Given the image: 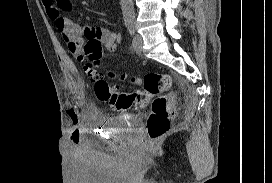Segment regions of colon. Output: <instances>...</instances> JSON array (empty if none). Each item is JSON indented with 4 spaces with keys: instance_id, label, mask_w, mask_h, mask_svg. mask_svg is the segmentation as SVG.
Masks as SVG:
<instances>
[{
    "instance_id": "1",
    "label": "colon",
    "mask_w": 272,
    "mask_h": 183,
    "mask_svg": "<svg viewBox=\"0 0 272 183\" xmlns=\"http://www.w3.org/2000/svg\"><path fill=\"white\" fill-rule=\"evenodd\" d=\"M103 48L100 42L89 41L84 45L80 57L84 62L85 70L94 82L97 98L118 111L140 109L150 98H153L147 130L151 140L160 139L169 131L171 120L175 115V94L171 91V77L166 73L149 72L141 78L131 79L133 83L141 86V90L133 93L119 92L100 71Z\"/></svg>"
}]
</instances>
